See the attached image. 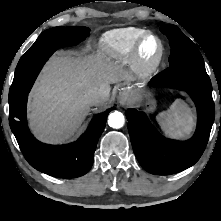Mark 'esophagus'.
Masks as SVG:
<instances>
[{
  "label": "esophagus",
  "mask_w": 221,
  "mask_h": 221,
  "mask_svg": "<svg viewBox=\"0 0 221 221\" xmlns=\"http://www.w3.org/2000/svg\"><path fill=\"white\" fill-rule=\"evenodd\" d=\"M130 94L125 91V90H121L119 92V95H118V101L121 105H126L130 102Z\"/></svg>",
  "instance_id": "esophagus-1"
}]
</instances>
